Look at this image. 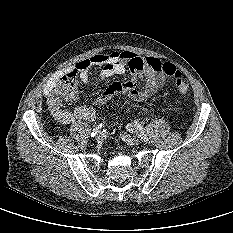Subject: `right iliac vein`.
<instances>
[{
    "label": "right iliac vein",
    "instance_id": "63e3f726",
    "mask_svg": "<svg viewBox=\"0 0 233 233\" xmlns=\"http://www.w3.org/2000/svg\"><path fill=\"white\" fill-rule=\"evenodd\" d=\"M96 140H97L98 142H102V141H103V134H102L101 132H99V133L97 134Z\"/></svg>",
    "mask_w": 233,
    "mask_h": 233
}]
</instances>
